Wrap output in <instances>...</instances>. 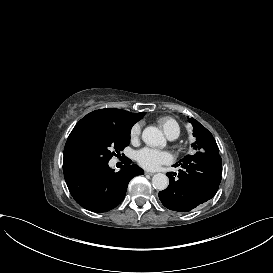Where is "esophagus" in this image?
<instances>
[{
  "label": "esophagus",
  "mask_w": 273,
  "mask_h": 273,
  "mask_svg": "<svg viewBox=\"0 0 273 273\" xmlns=\"http://www.w3.org/2000/svg\"><path fill=\"white\" fill-rule=\"evenodd\" d=\"M144 174H145V175H149V176L154 175V173H153V172H150V171H145Z\"/></svg>",
  "instance_id": "34e87169"
}]
</instances>
